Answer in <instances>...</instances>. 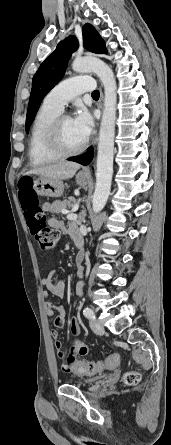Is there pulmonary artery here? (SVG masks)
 <instances>
[{"label":"pulmonary artery","mask_w":171,"mask_h":445,"mask_svg":"<svg viewBox=\"0 0 171 445\" xmlns=\"http://www.w3.org/2000/svg\"><path fill=\"white\" fill-rule=\"evenodd\" d=\"M94 90V81L90 76H77L66 79L56 85L44 98V104L62 111L64 106L75 96Z\"/></svg>","instance_id":"e3ab8cb5"}]
</instances>
